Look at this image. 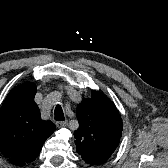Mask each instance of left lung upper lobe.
<instances>
[{"mask_svg": "<svg viewBox=\"0 0 168 168\" xmlns=\"http://www.w3.org/2000/svg\"><path fill=\"white\" fill-rule=\"evenodd\" d=\"M79 128L74 132L76 151L91 165L104 163L115 151L122 133V120L114 103L92 91L77 107Z\"/></svg>", "mask_w": 168, "mask_h": 168, "instance_id": "1", "label": "left lung upper lobe"}]
</instances>
